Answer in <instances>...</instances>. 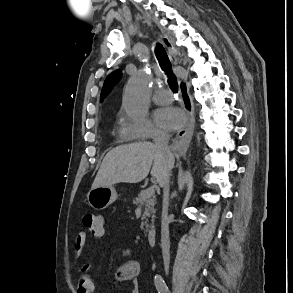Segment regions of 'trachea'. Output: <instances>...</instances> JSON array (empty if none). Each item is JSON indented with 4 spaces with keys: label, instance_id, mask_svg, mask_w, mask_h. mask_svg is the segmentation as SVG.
<instances>
[{
    "label": "trachea",
    "instance_id": "trachea-1",
    "mask_svg": "<svg viewBox=\"0 0 293 293\" xmlns=\"http://www.w3.org/2000/svg\"><path fill=\"white\" fill-rule=\"evenodd\" d=\"M155 55L160 64L161 69L165 72L168 77L169 87L173 92H178V83L175 74L172 71L171 62L168 58V55L161 44H157L155 48Z\"/></svg>",
    "mask_w": 293,
    "mask_h": 293
}]
</instances>
